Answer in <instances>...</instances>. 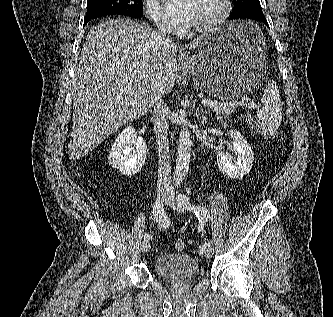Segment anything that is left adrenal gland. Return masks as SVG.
I'll use <instances>...</instances> for the list:
<instances>
[{
  "mask_svg": "<svg viewBox=\"0 0 333 317\" xmlns=\"http://www.w3.org/2000/svg\"><path fill=\"white\" fill-rule=\"evenodd\" d=\"M209 112L203 109H199L198 107L195 110V116L207 115Z\"/></svg>",
  "mask_w": 333,
  "mask_h": 317,
  "instance_id": "obj_1",
  "label": "left adrenal gland"
}]
</instances>
